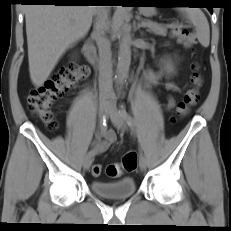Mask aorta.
<instances>
[{
  "mask_svg": "<svg viewBox=\"0 0 231 231\" xmlns=\"http://www.w3.org/2000/svg\"><path fill=\"white\" fill-rule=\"evenodd\" d=\"M121 18H126V12L124 10L120 13ZM131 63V38L130 27L127 23H121L119 50H118V64L116 71V83L121 85L128 76L129 67Z\"/></svg>",
  "mask_w": 231,
  "mask_h": 231,
  "instance_id": "obj_1",
  "label": "aorta"
}]
</instances>
